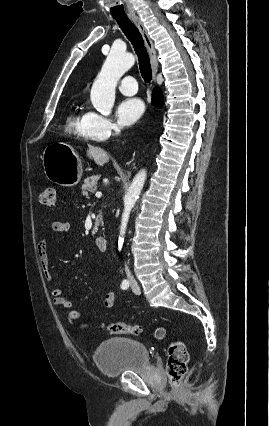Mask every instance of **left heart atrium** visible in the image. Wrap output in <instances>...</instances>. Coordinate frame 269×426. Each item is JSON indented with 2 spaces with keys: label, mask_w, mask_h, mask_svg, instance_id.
<instances>
[{
  "label": "left heart atrium",
  "mask_w": 269,
  "mask_h": 426,
  "mask_svg": "<svg viewBox=\"0 0 269 426\" xmlns=\"http://www.w3.org/2000/svg\"><path fill=\"white\" fill-rule=\"evenodd\" d=\"M144 112V104L138 98L124 99L117 107L116 118L121 127H128L137 122Z\"/></svg>",
  "instance_id": "obj_1"
}]
</instances>
